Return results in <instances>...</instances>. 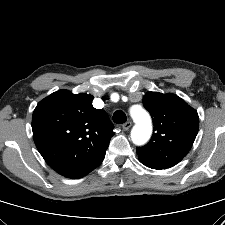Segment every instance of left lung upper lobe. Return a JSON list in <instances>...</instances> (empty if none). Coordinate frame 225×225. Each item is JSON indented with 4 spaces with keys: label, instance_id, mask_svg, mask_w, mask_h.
<instances>
[{
    "label": "left lung upper lobe",
    "instance_id": "1",
    "mask_svg": "<svg viewBox=\"0 0 225 225\" xmlns=\"http://www.w3.org/2000/svg\"><path fill=\"white\" fill-rule=\"evenodd\" d=\"M143 105L153 117L154 133L144 147H137L140 161L153 169L171 168L191 149L198 133L195 109L174 94L148 92Z\"/></svg>",
    "mask_w": 225,
    "mask_h": 225
}]
</instances>
